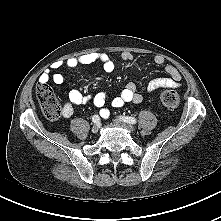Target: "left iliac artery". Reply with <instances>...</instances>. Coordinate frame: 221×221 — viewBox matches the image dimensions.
Returning a JSON list of instances; mask_svg holds the SVG:
<instances>
[{
  "mask_svg": "<svg viewBox=\"0 0 221 221\" xmlns=\"http://www.w3.org/2000/svg\"><path fill=\"white\" fill-rule=\"evenodd\" d=\"M120 119L129 124H136L137 120L130 116H120Z\"/></svg>",
  "mask_w": 221,
  "mask_h": 221,
  "instance_id": "left-iliac-artery-1",
  "label": "left iliac artery"
}]
</instances>
